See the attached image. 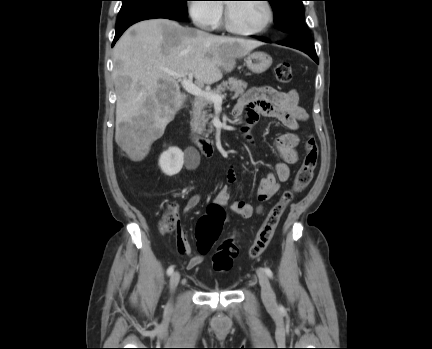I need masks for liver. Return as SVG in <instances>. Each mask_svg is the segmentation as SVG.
I'll list each match as a JSON object with an SVG mask.
<instances>
[{
  "mask_svg": "<svg viewBox=\"0 0 432 349\" xmlns=\"http://www.w3.org/2000/svg\"><path fill=\"white\" fill-rule=\"evenodd\" d=\"M261 45L183 27L168 19L130 27L113 50L118 146L132 161L143 160L184 104L186 96L165 69L192 73L198 82L212 84L223 77V71L234 69L236 59Z\"/></svg>",
  "mask_w": 432,
  "mask_h": 349,
  "instance_id": "liver-1",
  "label": "liver"
}]
</instances>
